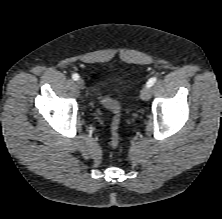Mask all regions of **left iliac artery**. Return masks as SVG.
<instances>
[{"mask_svg":"<svg viewBox=\"0 0 222 219\" xmlns=\"http://www.w3.org/2000/svg\"><path fill=\"white\" fill-rule=\"evenodd\" d=\"M157 78L156 77H152L148 80L146 86L151 87L152 85H154V83L156 82Z\"/></svg>","mask_w":222,"mask_h":219,"instance_id":"left-iliac-artery-1","label":"left iliac artery"}]
</instances>
